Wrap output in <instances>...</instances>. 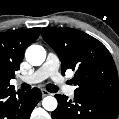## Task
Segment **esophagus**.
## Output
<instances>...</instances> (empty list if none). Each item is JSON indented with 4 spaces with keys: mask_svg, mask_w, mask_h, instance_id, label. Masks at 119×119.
Instances as JSON below:
<instances>
[{
    "mask_svg": "<svg viewBox=\"0 0 119 119\" xmlns=\"http://www.w3.org/2000/svg\"><path fill=\"white\" fill-rule=\"evenodd\" d=\"M41 93H42L43 97L50 95V93L48 91L44 90V89L41 90Z\"/></svg>",
    "mask_w": 119,
    "mask_h": 119,
    "instance_id": "esophagus-1",
    "label": "esophagus"
}]
</instances>
